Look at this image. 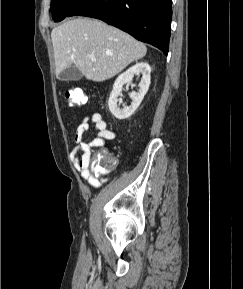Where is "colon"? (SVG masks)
I'll return each mask as SVG.
<instances>
[{
  "label": "colon",
  "mask_w": 243,
  "mask_h": 289,
  "mask_svg": "<svg viewBox=\"0 0 243 289\" xmlns=\"http://www.w3.org/2000/svg\"><path fill=\"white\" fill-rule=\"evenodd\" d=\"M66 100L70 106H81L88 101V95L80 88L68 90L65 93ZM115 166V159L108 155L106 151L95 153L92 159V170L96 174L110 172Z\"/></svg>",
  "instance_id": "colon-1"
}]
</instances>
